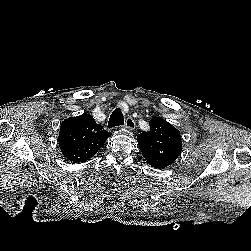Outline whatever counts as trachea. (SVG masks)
<instances>
[{
  "label": "trachea",
  "mask_w": 251,
  "mask_h": 251,
  "mask_svg": "<svg viewBox=\"0 0 251 251\" xmlns=\"http://www.w3.org/2000/svg\"><path fill=\"white\" fill-rule=\"evenodd\" d=\"M124 122L123 113L120 108H116L109 119L108 128H113L122 125Z\"/></svg>",
  "instance_id": "1"
}]
</instances>
